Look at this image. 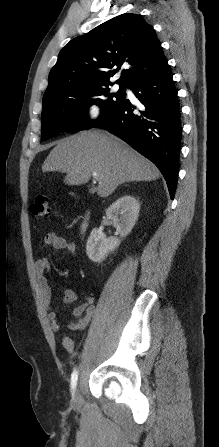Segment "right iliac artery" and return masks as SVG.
<instances>
[{
  "label": "right iliac artery",
  "instance_id": "82829eb1",
  "mask_svg": "<svg viewBox=\"0 0 219 447\" xmlns=\"http://www.w3.org/2000/svg\"><path fill=\"white\" fill-rule=\"evenodd\" d=\"M78 380V370L75 368L71 375V389L74 391Z\"/></svg>",
  "mask_w": 219,
  "mask_h": 447
}]
</instances>
